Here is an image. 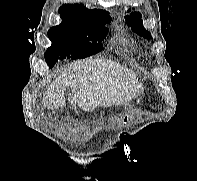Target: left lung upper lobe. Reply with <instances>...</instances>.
<instances>
[{
	"label": "left lung upper lobe",
	"mask_w": 197,
	"mask_h": 181,
	"mask_svg": "<svg viewBox=\"0 0 197 181\" xmlns=\"http://www.w3.org/2000/svg\"><path fill=\"white\" fill-rule=\"evenodd\" d=\"M130 9L128 10V12ZM127 24L131 26L132 30L139 34L140 36H144L145 38H151V33L148 32L144 27L141 20V14L139 12H133L130 16L125 17Z\"/></svg>",
	"instance_id": "1"
}]
</instances>
